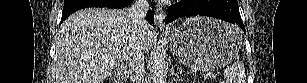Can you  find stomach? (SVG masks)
<instances>
[{
	"instance_id": "stomach-1",
	"label": "stomach",
	"mask_w": 307,
	"mask_h": 83,
	"mask_svg": "<svg viewBox=\"0 0 307 83\" xmlns=\"http://www.w3.org/2000/svg\"><path fill=\"white\" fill-rule=\"evenodd\" d=\"M167 38L180 62L202 72L229 64L242 45V35L236 26L206 17L187 19L169 31Z\"/></svg>"
}]
</instances>
